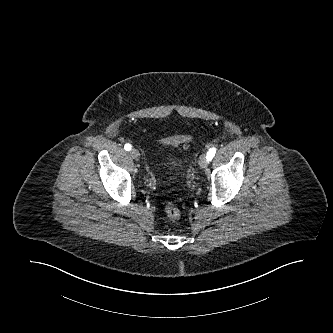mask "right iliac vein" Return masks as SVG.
<instances>
[{
	"mask_svg": "<svg viewBox=\"0 0 333 333\" xmlns=\"http://www.w3.org/2000/svg\"><path fill=\"white\" fill-rule=\"evenodd\" d=\"M130 155H131V157H132L134 160H139V158H140V153H139V151L136 150V149H132V150L130 151Z\"/></svg>",
	"mask_w": 333,
	"mask_h": 333,
	"instance_id": "obj_1",
	"label": "right iliac vein"
}]
</instances>
